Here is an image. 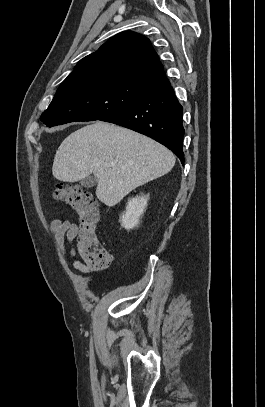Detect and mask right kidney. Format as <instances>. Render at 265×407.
<instances>
[{
    "instance_id": "ca27d5eb",
    "label": "right kidney",
    "mask_w": 265,
    "mask_h": 407,
    "mask_svg": "<svg viewBox=\"0 0 265 407\" xmlns=\"http://www.w3.org/2000/svg\"><path fill=\"white\" fill-rule=\"evenodd\" d=\"M149 195L137 196L129 200L125 213L120 218L121 226L127 230L137 227L140 217L143 215Z\"/></svg>"
}]
</instances>
